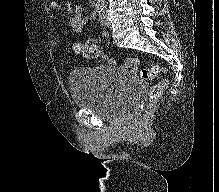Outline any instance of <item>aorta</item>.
Returning a JSON list of instances; mask_svg holds the SVG:
<instances>
[{
	"mask_svg": "<svg viewBox=\"0 0 219 192\" xmlns=\"http://www.w3.org/2000/svg\"><path fill=\"white\" fill-rule=\"evenodd\" d=\"M98 3L104 4L105 0H97Z\"/></svg>",
	"mask_w": 219,
	"mask_h": 192,
	"instance_id": "762f6f07",
	"label": "aorta"
}]
</instances>
